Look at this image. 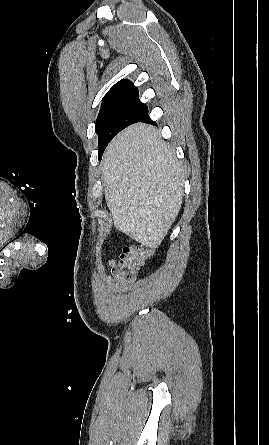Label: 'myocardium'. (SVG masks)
Wrapping results in <instances>:
<instances>
[{"mask_svg":"<svg viewBox=\"0 0 269 445\" xmlns=\"http://www.w3.org/2000/svg\"><path fill=\"white\" fill-rule=\"evenodd\" d=\"M11 237V235L6 236L5 238L0 240V244H3L5 241H7L9 238Z\"/></svg>","mask_w":269,"mask_h":445,"instance_id":"f54148a6","label":"myocardium"}]
</instances>
